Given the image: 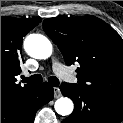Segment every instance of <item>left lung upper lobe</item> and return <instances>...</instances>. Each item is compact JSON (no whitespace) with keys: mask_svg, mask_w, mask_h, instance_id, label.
Here are the masks:
<instances>
[{"mask_svg":"<svg viewBox=\"0 0 123 123\" xmlns=\"http://www.w3.org/2000/svg\"><path fill=\"white\" fill-rule=\"evenodd\" d=\"M43 29L67 65L79 63L75 87L123 101V40L110 25L88 15L45 19Z\"/></svg>","mask_w":123,"mask_h":123,"instance_id":"1","label":"left lung upper lobe"}]
</instances>
